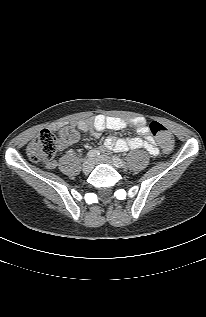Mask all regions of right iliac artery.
I'll return each mask as SVG.
<instances>
[{
	"label": "right iliac artery",
	"mask_w": 206,
	"mask_h": 317,
	"mask_svg": "<svg viewBox=\"0 0 206 317\" xmlns=\"http://www.w3.org/2000/svg\"><path fill=\"white\" fill-rule=\"evenodd\" d=\"M101 151L98 149H92L87 153V157L89 159H93L95 157H97L98 155H100Z\"/></svg>",
	"instance_id": "right-iliac-artery-1"
}]
</instances>
